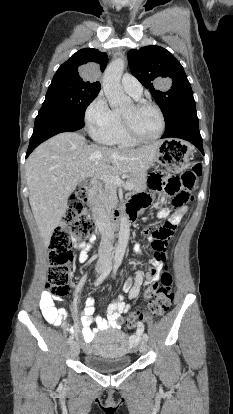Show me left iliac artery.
Wrapping results in <instances>:
<instances>
[{"instance_id":"left-iliac-artery-1","label":"left iliac artery","mask_w":233,"mask_h":414,"mask_svg":"<svg viewBox=\"0 0 233 414\" xmlns=\"http://www.w3.org/2000/svg\"><path fill=\"white\" fill-rule=\"evenodd\" d=\"M119 266H120V262H117L116 264H115V266H114V270H113V275L115 276L116 275V272H117V269L119 268ZM143 330H144V327H143ZM143 332V331H142ZM148 335L146 334V333H144L143 334V339L144 340H146V341H148Z\"/></svg>"}]
</instances>
